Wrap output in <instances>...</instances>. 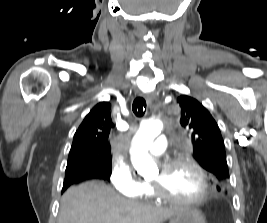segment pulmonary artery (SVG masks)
<instances>
[{
    "label": "pulmonary artery",
    "instance_id": "obj_1",
    "mask_svg": "<svg viewBox=\"0 0 267 223\" xmlns=\"http://www.w3.org/2000/svg\"><path fill=\"white\" fill-rule=\"evenodd\" d=\"M167 140L168 138L164 135H159L154 144L149 147L148 151L150 154L158 156L165 152L166 146H167Z\"/></svg>",
    "mask_w": 267,
    "mask_h": 223
}]
</instances>
